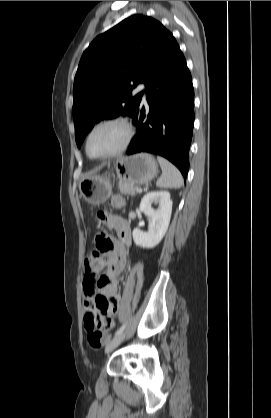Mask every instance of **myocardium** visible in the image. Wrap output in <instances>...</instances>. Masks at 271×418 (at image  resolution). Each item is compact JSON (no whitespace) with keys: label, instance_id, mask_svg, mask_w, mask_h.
I'll use <instances>...</instances> for the list:
<instances>
[{"label":"myocardium","instance_id":"obj_1","mask_svg":"<svg viewBox=\"0 0 271 418\" xmlns=\"http://www.w3.org/2000/svg\"><path fill=\"white\" fill-rule=\"evenodd\" d=\"M107 125L119 126L123 130V133H124L123 141L121 145L115 150L107 154L101 155V156H93L89 151V142H90L91 136L94 134L96 130ZM132 137H133V129L127 120H125L122 117H108L95 123L88 131L86 138H85V152L87 156L91 159H95V160L109 159L125 152L132 140Z\"/></svg>","mask_w":271,"mask_h":418}]
</instances>
